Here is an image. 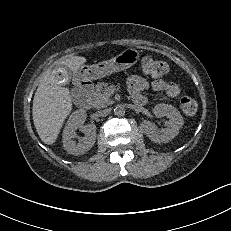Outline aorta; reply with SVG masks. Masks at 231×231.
<instances>
[{"mask_svg": "<svg viewBox=\"0 0 231 231\" xmlns=\"http://www.w3.org/2000/svg\"><path fill=\"white\" fill-rule=\"evenodd\" d=\"M114 114L118 117L124 116L125 115V108L122 105H117L114 108Z\"/></svg>", "mask_w": 231, "mask_h": 231, "instance_id": "1", "label": "aorta"}]
</instances>
